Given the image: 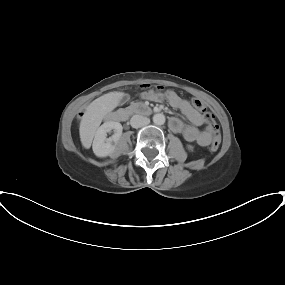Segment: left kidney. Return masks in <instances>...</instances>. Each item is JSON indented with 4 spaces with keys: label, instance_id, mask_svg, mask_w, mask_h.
<instances>
[{
    "label": "left kidney",
    "instance_id": "5707ae66",
    "mask_svg": "<svg viewBox=\"0 0 285 285\" xmlns=\"http://www.w3.org/2000/svg\"><path fill=\"white\" fill-rule=\"evenodd\" d=\"M187 148H188L189 150H193V146H191V145H188Z\"/></svg>",
    "mask_w": 285,
    "mask_h": 285
}]
</instances>
